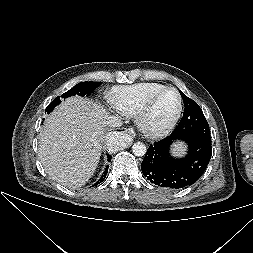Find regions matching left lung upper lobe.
Returning a JSON list of instances; mask_svg holds the SVG:
<instances>
[{"label": "left lung upper lobe", "instance_id": "1", "mask_svg": "<svg viewBox=\"0 0 253 253\" xmlns=\"http://www.w3.org/2000/svg\"><path fill=\"white\" fill-rule=\"evenodd\" d=\"M180 94L185 109L179 125L174 130L175 135L195 136L211 142L209 125L201 108L194 100L188 98L181 91Z\"/></svg>", "mask_w": 253, "mask_h": 253}]
</instances>
